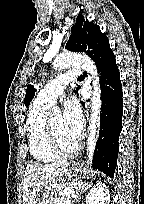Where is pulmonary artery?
<instances>
[{"mask_svg": "<svg viewBox=\"0 0 144 204\" xmlns=\"http://www.w3.org/2000/svg\"><path fill=\"white\" fill-rule=\"evenodd\" d=\"M80 73L78 70H72L57 76L39 91L36 101L48 107L52 106L62 94L65 86L76 79Z\"/></svg>", "mask_w": 144, "mask_h": 204, "instance_id": "obj_1", "label": "pulmonary artery"}]
</instances>
